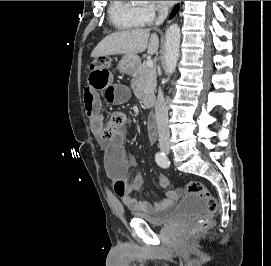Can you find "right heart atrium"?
<instances>
[{"instance_id":"d8ad5b80","label":"right heart atrium","mask_w":271,"mask_h":266,"mask_svg":"<svg viewBox=\"0 0 271 266\" xmlns=\"http://www.w3.org/2000/svg\"><path fill=\"white\" fill-rule=\"evenodd\" d=\"M138 11L142 23L150 24L154 21L161 9L157 4L150 3L139 7Z\"/></svg>"}]
</instances>
